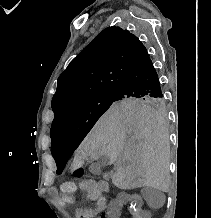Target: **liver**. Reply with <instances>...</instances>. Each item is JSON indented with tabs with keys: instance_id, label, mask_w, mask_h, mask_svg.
<instances>
[{
	"instance_id": "obj_1",
	"label": "liver",
	"mask_w": 211,
	"mask_h": 218,
	"mask_svg": "<svg viewBox=\"0 0 211 218\" xmlns=\"http://www.w3.org/2000/svg\"><path fill=\"white\" fill-rule=\"evenodd\" d=\"M168 152V134L159 112L112 104L80 144L74 166L80 168L84 158L107 156L110 164L120 162L112 176L120 190L151 186L167 192Z\"/></svg>"
}]
</instances>
